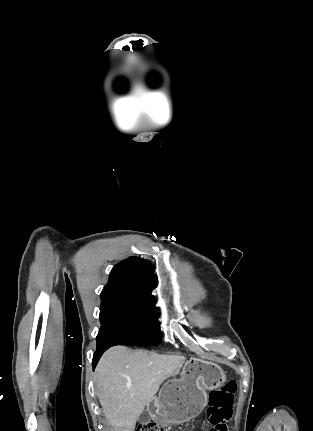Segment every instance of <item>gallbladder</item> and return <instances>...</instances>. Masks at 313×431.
<instances>
[{
  "label": "gallbladder",
  "instance_id": "obj_1",
  "mask_svg": "<svg viewBox=\"0 0 313 431\" xmlns=\"http://www.w3.org/2000/svg\"><path fill=\"white\" fill-rule=\"evenodd\" d=\"M142 419H143V420H148V419H149V414H148V412H147V411H144V412H143V414H142Z\"/></svg>",
  "mask_w": 313,
  "mask_h": 431
}]
</instances>
